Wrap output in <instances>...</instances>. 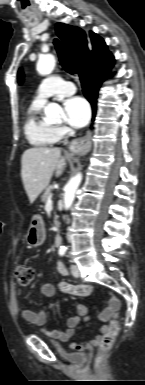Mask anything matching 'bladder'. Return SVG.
Returning a JSON list of instances; mask_svg holds the SVG:
<instances>
[{"label":"bladder","mask_w":145,"mask_h":385,"mask_svg":"<svg viewBox=\"0 0 145 385\" xmlns=\"http://www.w3.org/2000/svg\"><path fill=\"white\" fill-rule=\"evenodd\" d=\"M70 357H74L77 362H83L86 358L85 354H83V353L71 355Z\"/></svg>","instance_id":"obj_1"}]
</instances>
